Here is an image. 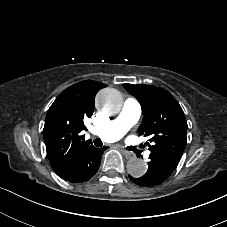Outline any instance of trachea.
I'll return each mask as SVG.
<instances>
[{"label":"trachea","mask_w":227,"mask_h":227,"mask_svg":"<svg viewBox=\"0 0 227 227\" xmlns=\"http://www.w3.org/2000/svg\"><path fill=\"white\" fill-rule=\"evenodd\" d=\"M94 144L97 147H101L102 146V141L100 139H96V140H94Z\"/></svg>","instance_id":"trachea-1"}]
</instances>
